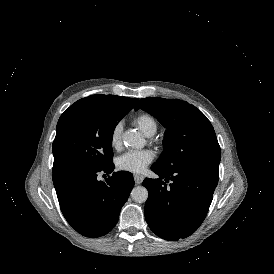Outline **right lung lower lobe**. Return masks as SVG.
<instances>
[{
    "instance_id": "obj_1",
    "label": "right lung lower lobe",
    "mask_w": 274,
    "mask_h": 274,
    "mask_svg": "<svg viewBox=\"0 0 274 274\" xmlns=\"http://www.w3.org/2000/svg\"><path fill=\"white\" fill-rule=\"evenodd\" d=\"M114 168V164L104 168L81 166L53 173L64 217L86 237H100L113 229L134 186L133 174L127 171L114 172L105 182L99 180L100 172L108 175Z\"/></svg>"
}]
</instances>
